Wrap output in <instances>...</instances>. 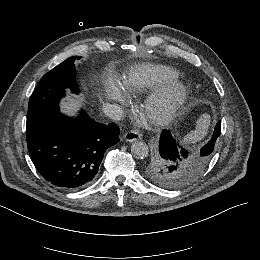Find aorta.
Masks as SVG:
<instances>
[{"label": "aorta", "mask_w": 260, "mask_h": 260, "mask_svg": "<svg viewBox=\"0 0 260 260\" xmlns=\"http://www.w3.org/2000/svg\"><path fill=\"white\" fill-rule=\"evenodd\" d=\"M131 153L138 159H144L149 153L148 145L142 141H135L131 146Z\"/></svg>", "instance_id": "obj_1"}]
</instances>
